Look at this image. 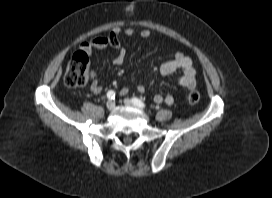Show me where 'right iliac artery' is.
<instances>
[{
  "mask_svg": "<svg viewBox=\"0 0 272 198\" xmlns=\"http://www.w3.org/2000/svg\"><path fill=\"white\" fill-rule=\"evenodd\" d=\"M107 98L110 99V100H113L115 99V92L110 90L107 92Z\"/></svg>",
  "mask_w": 272,
  "mask_h": 198,
  "instance_id": "82829eb1",
  "label": "right iliac artery"
}]
</instances>
